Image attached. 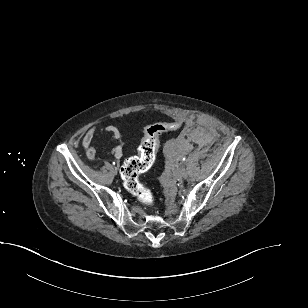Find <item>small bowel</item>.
Segmentation results:
<instances>
[{
  "label": "small bowel",
  "mask_w": 308,
  "mask_h": 308,
  "mask_svg": "<svg viewBox=\"0 0 308 308\" xmlns=\"http://www.w3.org/2000/svg\"><path fill=\"white\" fill-rule=\"evenodd\" d=\"M186 123L188 125H191L193 123V119L189 118L186 120ZM101 131L111 134L113 137H117L119 134L118 129L115 126H106ZM99 130L97 128H91L88 130V132L85 134L83 140H82V147L85 151V155L88 160L93 161L96 155V149L93 146V141L95 137L97 136ZM122 153V150L120 147H116L111 151V154L115 157H120Z\"/></svg>",
  "instance_id": "c3829d8e"
}]
</instances>
